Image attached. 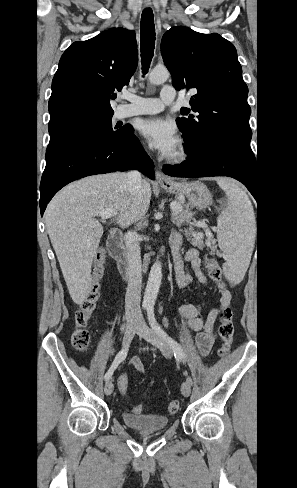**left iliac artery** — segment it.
<instances>
[{
	"instance_id": "obj_1",
	"label": "left iliac artery",
	"mask_w": 297,
	"mask_h": 488,
	"mask_svg": "<svg viewBox=\"0 0 297 488\" xmlns=\"http://www.w3.org/2000/svg\"><path fill=\"white\" fill-rule=\"evenodd\" d=\"M147 314H148V320L151 327L169 343V345L171 346L174 352L175 357L182 359L183 362H186L185 353L181 348V346L173 338H171L156 321L153 307L147 308ZM187 380L192 382L190 377H187Z\"/></svg>"
}]
</instances>
